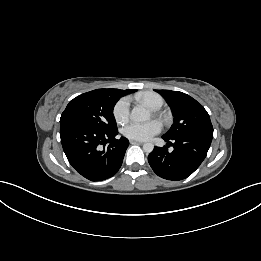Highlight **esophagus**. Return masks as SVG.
Returning a JSON list of instances; mask_svg holds the SVG:
<instances>
[{"label":"esophagus","mask_w":261,"mask_h":261,"mask_svg":"<svg viewBox=\"0 0 261 261\" xmlns=\"http://www.w3.org/2000/svg\"><path fill=\"white\" fill-rule=\"evenodd\" d=\"M130 143H131L132 145H135V144L141 145V144H143V142L137 141V140H130Z\"/></svg>","instance_id":"34e87169"}]
</instances>
